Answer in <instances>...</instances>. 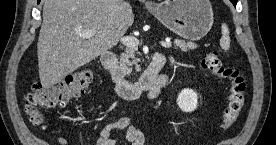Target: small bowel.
Masks as SVG:
<instances>
[{
  "instance_id": "1",
  "label": "small bowel",
  "mask_w": 276,
  "mask_h": 145,
  "mask_svg": "<svg viewBox=\"0 0 276 145\" xmlns=\"http://www.w3.org/2000/svg\"><path fill=\"white\" fill-rule=\"evenodd\" d=\"M158 94L159 92L149 93L148 97L154 100ZM113 130H125L126 145H145L144 134L131 123L128 117H122L117 121L106 124L100 131L97 145H117L116 141L111 138ZM58 141L60 145H67V141L64 138H59Z\"/></svg>"
}]
</instances>
